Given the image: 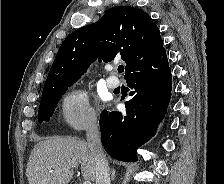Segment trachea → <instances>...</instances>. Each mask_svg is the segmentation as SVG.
<instances>
[{"instance_id":"3493384b","label":"trachea","mask_w":224,"mask_h":184,"mask_svg":"<svg viewBox=\"0 0 224 184\" xmlns=\"http://www.w3.org/2000/svg\"><path fill=\"white\" fill-rule=\"evenodd\" d=\"M123 71H124V67H123L122 65H120V66L118 67V72L121 73V72H123Z\"/></svg>"}]
</instances>
